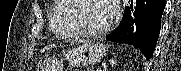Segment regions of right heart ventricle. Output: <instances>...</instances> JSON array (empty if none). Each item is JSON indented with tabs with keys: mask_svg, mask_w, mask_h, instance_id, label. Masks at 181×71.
Returning <instances> with one entry per match:
<instances>
[{
	"mask_svg": "<svg viewBox=\"0 0 181 71\" xmlns=\"http://www.w3.org/2000/svg\"><path fill=\"white\" fill-rule=\"evenodd\" d=\"M72 8L69 0H57L49 14L51 31L62 38H78L79 34L72 26Z\"/></svg>",
	"mask_w": 181,
	"mask_h": 71,
	"instance_id": "right-heart-ventricle-1",
	"label": "right heart ventricle"
}]
</instances>
